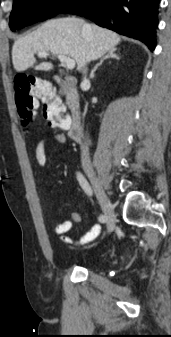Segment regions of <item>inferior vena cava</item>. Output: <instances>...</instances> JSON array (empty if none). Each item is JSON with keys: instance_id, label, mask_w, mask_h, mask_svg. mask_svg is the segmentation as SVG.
Here are the masks:
<instances>
[{"instance_id": "inferior-vena-cava-1", "label": "inferior vena cava", "mask_w": 171, "mask_h": 337, "mask_svg": "<svg viewBox=\"0 0 171 337\" xmlns=\"http://www.w3.org/2000/svg\"><path fill=\"white\" fill-rule=\"evenodd\" d=\"M84 28H87V25ZM86 72H87V69L84 70L85 77L83 79L82 84H89L90 83L89 80L86 77ZM81 159L85 163H89L90 162L89 149H88V141H86L84 144L81 145Z\"/></svg>"}]
</instances>
